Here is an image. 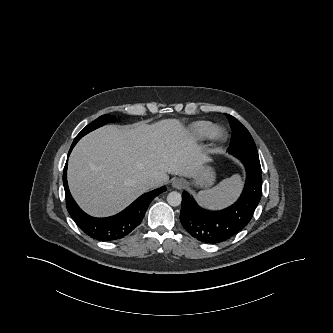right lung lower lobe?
<instances>
[{
  "label": "right lung lower lobe",
  "instance_id": "right-lung-lower-lobe-1",
  "mask_svg": "<svg viewBox=\"0 0 333 333\" xmlns=\"http://www.w3.org/2000/svg\"><path fill=\"white\" fill-rule=\"evenodd\" d=\"M77 142L74 141L72 143L69 154ZM63 185L66 206L71 218L85 234L100 241H113L128 235L141 223L153 198L166 191V187L163 186L141 195L125 210L115 216L94 218L83 212L70 194L67 183V162L63 171Z\"/></svg>",
  "mask_w": 333,
  "mask_h": 333
}]
</instances>
